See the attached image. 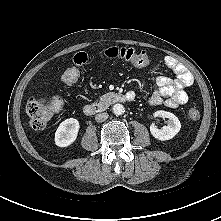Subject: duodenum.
Masks as SVG:
<instances>
[{
    "instance_id": "obj_1",
    "label": "duodenum",
    "mask_w": 221,
    "mask_h": 221,
    "mask_svg": "<svg viewBox=\"0 0 221 221\" xmlns=\"http://www.w3.org/2000/svg\"><path fill=\"white\" fill-rule=\"evenodd\" d=\"M133 99H134V95L132 94H119V95H116L114 98L116 102H128V101H132ZM103 110H104V105L101 103L87 104L84 107V112L87 115L100 113Z\"/></svg>"
}]
</instances>
